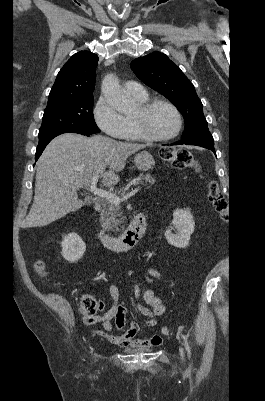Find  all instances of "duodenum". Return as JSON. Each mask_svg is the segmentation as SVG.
Segmentation results:
<instances>
[{
  "mask_svg": "<svg viewBox=\"0 0 265 401\" xmlns=\"http://www.w3.org/2000/svg\"><path fill=\"white\" fill-rule=\"evenodd\" d=\"M146 231V219L143 213L135 216L127 230L119 236H111L104 231L97 230L98 240L108 249L115 252L128 251L143 237Z\"/></svg>",
  "mask_w": 265,
  "mask_h": 401,
  "instance_id": "1",
  "label": "duodenum"
}]
</instances>
